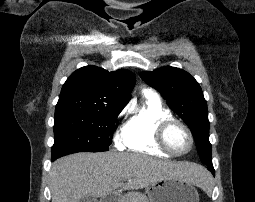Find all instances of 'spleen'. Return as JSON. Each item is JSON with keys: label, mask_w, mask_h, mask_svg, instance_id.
Listing matches in <instances>:
<instances>
[{"label": "spleen", "mask_w": 255, "mask_h": 202, "mask_svg": "<svg viewBox=\"0 0 255 202\" xmlns=\"http://www.w3.org/2000/svg\"><path fill=\"white\" fill-rule=\"evenodd\" d=\"M202 187L208 189L210 187V177L208 173L202 175Z\"/></svg>", "instance_id": "3e777b00"}]
</instances>
